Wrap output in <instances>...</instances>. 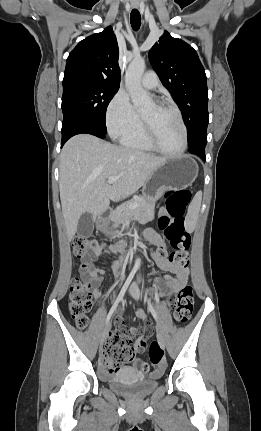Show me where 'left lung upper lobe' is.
I'll return each instance as SVG.
<instances>
[{"instance_id": "obj_1", "label": "left lung upper lobe", "mask_w": 261, "mask_h": 431, "mask_svg": "<svg viewBox=\"0 0 261 431\" xmlns=\"http://www.w3.org/2000/svg\"><path fill=\"white\" fill-rule=\"evenodd\" d=\"M149 59L182 112L189 148L206 146L209 121L207 78L196 51L165 31L149 51Z\"/></svg>"}]
</instances>
